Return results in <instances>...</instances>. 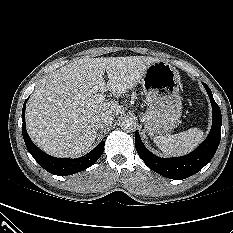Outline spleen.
Listing matches in <instances>:
<instances>
[{
	"instance_id": "1",
	"label": "spleen",
	"mask_w": 233,
	"mask_h": 233,
	"mask_svg": "<svg viewBox=\"0 0 233 233\" xmlns=\"http://www.w3.org/2000/svg\"><path fill=\"white\" fill-rule=\"evenodd\" d=\"M204 139L203 131L190 128L170 136H155L154 143L168 156H182L191 152Z\"/></svg>"
}]
</instances>
